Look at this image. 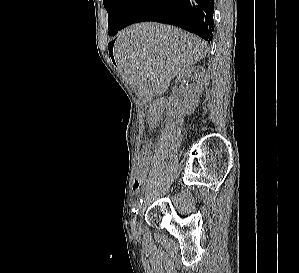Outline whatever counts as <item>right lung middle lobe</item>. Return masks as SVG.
Here are the masks:
<instances>
[{
  "instance_id": "obj_1",
  "label": "right lung middle lobe",
  "mask_w": 299,
  "mask_h": 273,
  "mask_svg": "<svg viewBox=\"0 0 299 273\" xmlns=\"http://www.w3.org/2000/svg\"><path fill=\"white\" fill-rule=\"evenodd\" d=\"M134 0H103L108 12L109 35L114 36L120 29L123 18Z\"/></svg>"
}]
</instances>
